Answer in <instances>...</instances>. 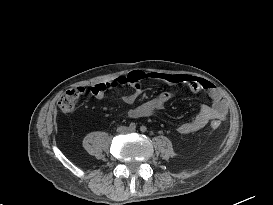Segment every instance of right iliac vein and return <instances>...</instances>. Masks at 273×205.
Instances as JSON below:
<instances>
[{"label": "right iliac vein", "mask_w": 273, "mask_h": 205, "mask_svg": "<svg viewBox=\"0 0 273 205\" xmlns=\"http://www.w3.org/2000/svg\"><path fill=\"white\" fill-rule=\"evenodd\" d=\"M125 131H127V128H126V127H121V128H119V132H125Z\"/></svg>", "instance_id": "1"}]
</instances>
